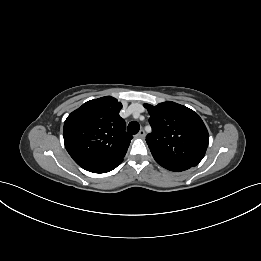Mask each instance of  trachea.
<instances>
[{
	"mask_svg": "<svg viewBox=\"0 0 261 261\" xmlns=\"http://www.w3.org/2000/svg\"><path fill=\"white\" fill-rule=\"evenodd\" d=\"M128 132L130 134H137L139 132L140 126L137 122H130L128 125Z\"/></svg>",
	"mask_w": 261,
	"mask_h": 261,
	"instance_id": "trachea-1",
	"label": "trachea"
}]
</instances>
